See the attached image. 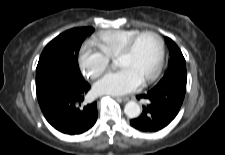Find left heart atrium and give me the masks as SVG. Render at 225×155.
<instances>
[{"mask_svg": "<svg viewBox=\"0 0 225 155\" xmlns=\"http://www.w3.org/2000/svg\"><path fill=\"white\" fill-rule=\"evenodd\" d=\"M142 80L130 69L121 68L115 72H109L99 79L93 86L98 94L122 95L135 91Z\"/></svg>", "mask_w": 225, "mask_h": 155, "instance_id": "left-heart-atrium-1", "label": "left heart atrium"}]
</instances>
